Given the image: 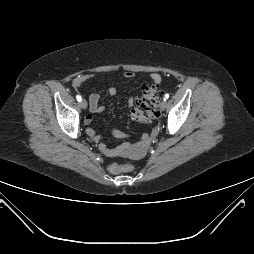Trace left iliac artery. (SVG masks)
I'll return each mask as SVG.
<instances>
[{"label": "left iliac artery", "mask_w": 254, "mask_h": 254, "mask_svg": "<svg viewBox=\"0 0 254 254\" xmlns=\"http://www.w3.org/2000/svg\"><path fill=\"white\" fill-rule=\"evenodd\" d=\"M169 98V94H165L164 101H166Z\"/></svg>", "instance_id": "44dca946"}]
</instances>
